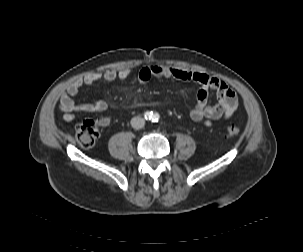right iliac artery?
I'll use <instances>...</instances> for the list:
<instances>
[{"mask_svg":"<svg viewBox=\"0 0 303 252\" xmlns=\"http://www.w3.org/2000/svg\"><path fill=\"white\" fill-rule=\"evenodd\" d=\"M145 119H150L152 117V112H146L144 114Z\"/></svg>","mask_w":303,"mask_h":252,"instance_id":"82829eb1","label":"right iliac artery"}]
</instances>
